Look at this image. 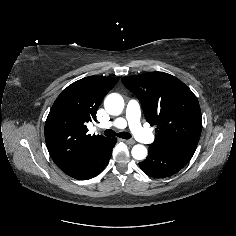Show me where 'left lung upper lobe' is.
<instances>
[{
	"instance_id": "5c2ea615",
	"label": "left lung upper lobe",
	"mask_w": 236,
	"mask_h": 236,
	"mask_svg": "<svg viewBox=\"0 0 236 236\" xmlns=\"http://www.w3.org/2000/svg\"><path fill=\"white\" fill-rule=\"evenodd\" d=\"M122 83L138 97L147 122L157 125L150 146L196 150L202 129L201 110L196 96L182 81L164 72H148L123 77Z\"/></svg>"
}]
</instances>
